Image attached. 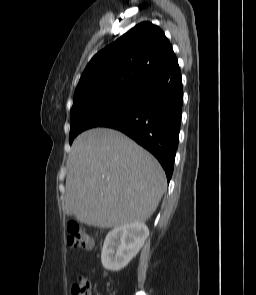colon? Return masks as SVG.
<instances>
[{
    "instance_id": "obj_1",
    "label": "colon",
    "mask_w": 256,
    "mask_h": 295,
    "mask_svg": "<svg viewBox=\"0 0 256 295\" xmlns=\"http://www.w3.org/2000/svg\"><path fill=\"white\" fill-rule=\"evenodd\" d=\"M67 243L70 248L90 250L94 242L90 234L77 223L69 222L67 225ZM73 295H90V282L85 277H79L72 289Z\"/></svg>"
}]
</instances>
